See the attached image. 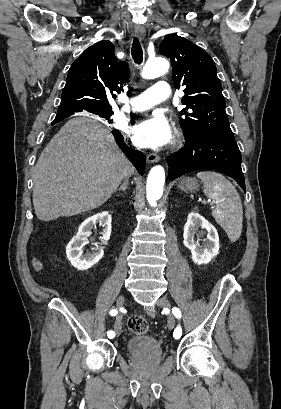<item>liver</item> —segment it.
Masks as SVG:
<instances>
[{
	"instance_id": "1",
	"label": "liver",
	"mask_w": 281,
	"mask_h": 409,
	"mask_svg": "<svg viewBox=\"0 0 281 409\" xmlns=\"http://www.w3.org/2000/svg\"><path fill=\"white\" fill-rule=\"evenodd\" d=\"M133 170L107 126L89 116L71 118L35 164V215L52 221L97 209Z\"/></svg>"
}]
</instances>
